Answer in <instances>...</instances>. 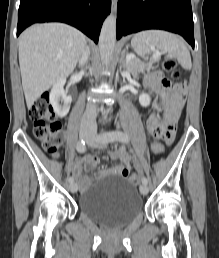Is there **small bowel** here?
<instances>
[{
	"label": "small bowel",
	"mask_w": 219,
	"mask_h": 258,
	"mask_svg": "<svg viewBox=\"0 0 219 258\" xmlns=\"http://www.w3.org/2000/svg\"><path fill=\"white\" fill-rule=\"evenodd\" d=\"M145 84L153 91L158 92L163 99H169L165 110V120L163 118H146L144 125L148 127L149 134H155L156 137L170 145L174 140L176 125L184 105L186 88L180 85L171 86L159 71L149 72ZM152 117H161V112H152ZM110 162H117V167L109 169V171L117 172L121 179H126L131 171V157L125 149L121 147L112 152ZM98 163L99 159L91 155L74 160L72 172L83 191L90 185V179L84 176L83 172L95 169Z\"/></svg>",
	"instance_id": "small-bowel-1"
}]
</instances>
